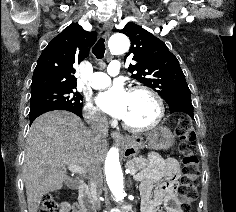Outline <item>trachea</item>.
I'll list each match as a JSON object with an SVG mask.
<instances>
[{"label":"trachea","mask_w":236,"mask_h":212,"mask_svg":"<svg viewBox=\"0 0 236 212\" xmlns=\"http://www.w3.org/2000/svg\"><path fill=\"white\" fill-rule=\"evenodd\" d=\"M104 42H105L104 38H100L92 48V52L96 56L97 59H102L104 57V53H105Z\"/></svg>","instance_id":"obj_1"}]
</instances>
